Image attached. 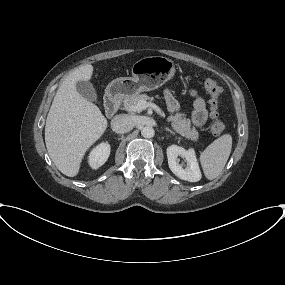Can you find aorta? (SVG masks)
I'll use <instances>...</instances> for the list:
<instances>
[{"instance_id":"aorta-1","label":"aorta","mask_w":285,"mask_h":285,"mask_svg":"<svg viewBox=\"0 0 285 285\" xmlns=\"http://www.w3.org/2000/svg\"><path fill=\"white\" fill-rule=\"evenodd\" d=\"M141 135L144 138H152L154 136V129L150 126H145L141 130Z\"/></svg>"}]
</instances>
